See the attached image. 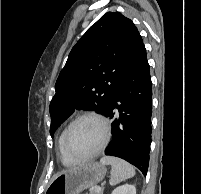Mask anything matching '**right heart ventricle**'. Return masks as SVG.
Instances as JSON below:
<instances>
[{"mask_svg":"<svg viewBox=\"0 0 201 194\" xmlns=\"http://www.w3.org/2000/svg\"><path fill=\"white\" fill-rule=\"evenodd\" d=\"M64 130H65V129H64ZM64 130L60 133V135H59V137H58L57 149H58V154H59L61 163H62L64 166L69 167V166L75 165L77 162L72 161L71 159H69V158L64 154V152H63V149H62V139H63Z\"/></svg>","mask_w":201,"mask_h":194,"instance_id":"e07e8e85","label":"right heart ventricle"}]
</instances>
